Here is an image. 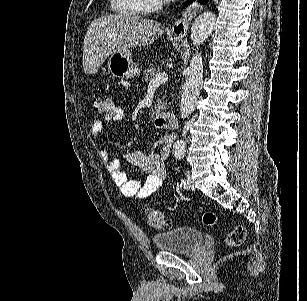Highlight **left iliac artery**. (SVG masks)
I'll return each mask as SVG.
<instances>
[{"mask_svg": "<svg viewBox=\"0 0 307 301\" xmlns=\"http://www.w3.org/2000/svg\"><path fill=\"white\" fill-rule=\"evenodd\" d=\"M187 184H188V181L184 179L181 181L180 187L185 188Z\"/></svg>", "mask_w": 307, "mask_h": 301, "instance_id": "obj_1", "label": "left iliac artery"}]
</instances>
